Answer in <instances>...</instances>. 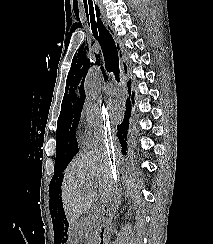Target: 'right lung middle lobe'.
Masks as SVG:
<instances>
[{"label": "right lung middle lobe", "mask_w": 213, "mask_h": 244, "mask_svg": "<svg viewBox=\"0 0 213 244\" xmlns=\"http://www.w3.org/2000/svg\"><path fill=\"white\" fill-rule=\"evenodd\" d=\"M82 107L74 108L60 113L57 124V151L55 160V174L52 181H58L57 171H63L71 159L78 152L76 128L80 120ZM51 181V183H52Z\"/></svg>", "instance_id": "obj_1"}]
</instances>
